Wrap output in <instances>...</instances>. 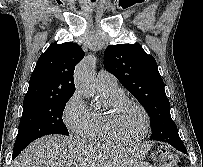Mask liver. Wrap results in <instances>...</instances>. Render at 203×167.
Instances as JSON below:
<instances>
[{
	"label": "liver",
	"mask_w": 203,
	"mask_h": 167,
	"mask_svg": "<svg viewBox=\"0 0 203 167\" xmlns=\"http://www.w3.org/2000/svg\"><path fill=\"white\" fill-rule=\"evenodd\" d=\"M143 157L133 151L61 135L31 143L12 167H133Z\"/></svg>",
	"instance_id": "6515ba94"
}]
</instances>
